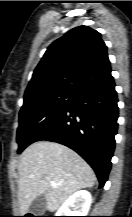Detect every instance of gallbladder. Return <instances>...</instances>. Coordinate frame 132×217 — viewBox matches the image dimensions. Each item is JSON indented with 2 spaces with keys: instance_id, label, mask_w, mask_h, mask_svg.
I'll use <instances>...</instances> for the list:
<instances>
[{
  "instance_id": "obj_1",
  "label": "gallbladder",
  "mask_w": 132,
  "mask_h": 217,
  "mask_svg": "<svg viewBox=\"0 0 132 217\" xmlns=\"http://www.w3.org/2000/svg\"><path fill=\"white\" fill-rule=\"evenodd\" d=\"M47 201L45 195L36 197L29 206L28 212L33 216H42L46 211Z\"/></svg>"
}]
</instances>
